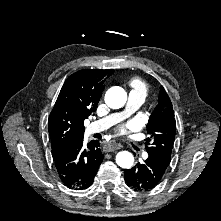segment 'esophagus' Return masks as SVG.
I'll list each match as a JSON object with an SVG mask.
<instances>
[{
    "label": "esophagus",
    "mask_w": 221,
    "mask_h": 221,
    "mask_svg": "<svg viewBox=\"0 0 221 221\" xmlns=\"http://www.w3.org/2000/svg\"><path fill=\"white\" fill-rule=\"evenodd\" d=\"M105 148L108 152H111V151H116V150H119L121 148V145L120 144H112V143H107L105 145Z\"/></svg>",
    "instance_id": "obj_1"
}]
</instances>
